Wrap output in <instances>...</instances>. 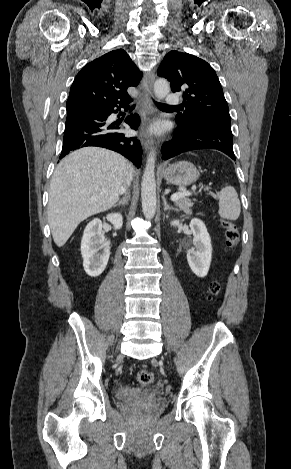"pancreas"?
<instances>
[{"label": "pancreas", "mask_w": 291, "mask_h": 469, "mask_svg": "<svg viewBox=\"0 0 291 469\" xmlns=\"http://www.w3.org/2000/svg\"><path fill=\"white\" fill-rule=\"evenodd\" d=\"M175 205L186 214H191L192 212L191 207L193 206V202L188 198L184 197L175 201Z\"/></svg>", "instance_id": "1"}]
</instances>
